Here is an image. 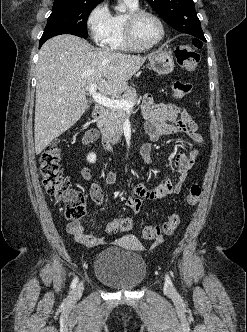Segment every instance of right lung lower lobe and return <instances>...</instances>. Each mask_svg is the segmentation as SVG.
Masks as SVG:
<instances>
[{"mask_svg":"<svg viewBox=\"0 0 247 332\" xmlns=\"http://www.w3.org/2000/svg\"><path fill=\"white\" fill-rule=\"evenodd\" d=\"M60 34H72V35H76L79 37H83L82 35L76 33L75 31H73L71 28L65 27V26H54V27H47L44 30V33L40 39L39 42V48L42 46V44L48 40L51 37H54L56 35H60Z\"/></svg>","mask_w":247,"mask_h":332,"instance_id":"98d812e1","label":"right lung lower lobe"}]
</instances>
